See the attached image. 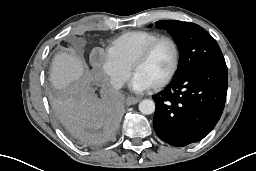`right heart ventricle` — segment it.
I'll return each mask as SVG.
<instances>
[{"mask_svg":"<svg viewBox=\"0 0 256 171\" xmlns=\"http://www.w3.org/2000/svg\"><path fill=\"white\" fill-rule=\"evenodd\" d=\"M160 35L152 31L134 30L114 39L107 47V53L127 68L140 51Z\"/></svg>","mask_w":256,"mask_h":171,"instance_id":"1","label":"right heart ventricle"}]
</instances>
